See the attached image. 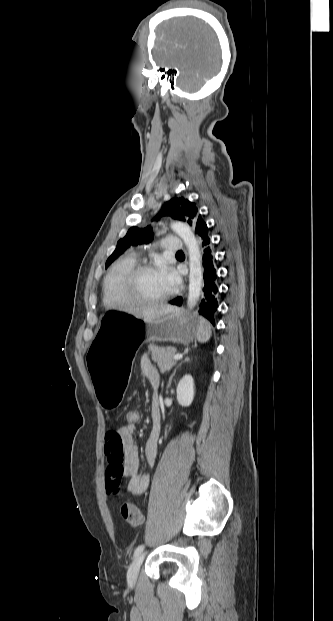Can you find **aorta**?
I'll return each mask as SVG.
<instances>
[{
	"label": "aorta",
	"mask_w": 333,
	"mask_h": 621,
	"mask_svg": "<svg viewBox=\"0 0 333 621\" xmlns=\"http://www.w3.org/2000/svg\"><path fill=\"white\" fill-rule=\"evenodd\" d=\"M171 228L183 240L188 249L190 272L187 306L191 310L197 305L202 291V254L194 233L186 223L175 222Z\"/></svg>",
	"instance_id": "762f6f07"
}]
</instances>
